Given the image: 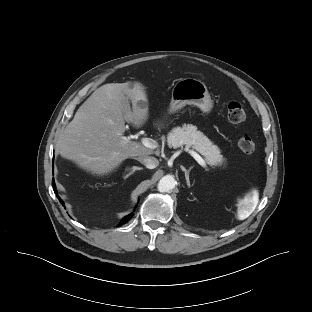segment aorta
<instances>
[{"instance_id": "aorta-1", "label": "aorta", "mask_w": 312, "mask_h": 312, "mask_svg": "<svg viewBox=\"0 0 312 312\" xmlns=\"http://www.w3.org/2000/svg\"><path fill=\"white\" fill-rule=\"evenodd\" d=\"M176 181L173 176L166 175L160 179L158 182V191L159 192H169L175 187Z\"/></svg>"}]
</instances>
